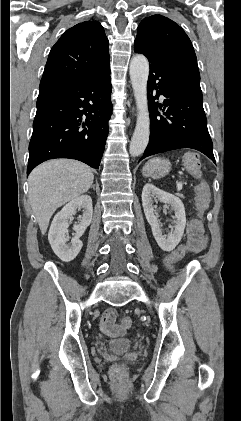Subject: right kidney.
I'll list each match as a JSON object with an SVG mask.
<instances>
[{"label":"right kidney","instance_id":"right-kidney-1","mask_svg":"<svg viewBox=\"0 0 241 421\" xmlns=\"http://www.w3.org/2000/svg\"><path fill=\"white\" fill-rule=\"evenodd\" d=\"M83 209V214L79 224H75L74 237L71 243L67 244L68 238L66 232L68 228V219L71 218L77 209ZM93 207L92 199L89 195H82L66 204L60 212H58L51 223L48 240L54 253L63 261L69 262L73 260L80 252L83 243L80 237L84 234L86 228L92 221Z\"/></svg>","mask_w":241,"mask_h":421}]
</instances>
